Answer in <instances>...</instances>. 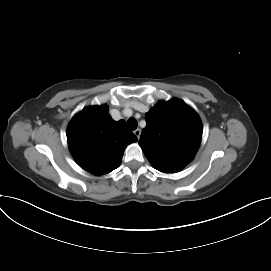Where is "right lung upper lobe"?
<instances>
[{
	"instance_id": "obj_1",
	"label": "right lung upper lobe",
	"mask_w": 271,
	"mask_h": 271,
	"mask_svg": "<svg viewBox=\"0 0 271 271\" xmlns=\"http://www.w3.org/2000/svg\"><path fill=\"white\" fill-rule=\"evenodd\" d=\"M68 145L80 167L94 175L119 167L125 147L137 141L124 121L114 122L106 105L93 106L76 114L67 129Z\"/></svg>"
}]
</instances>
